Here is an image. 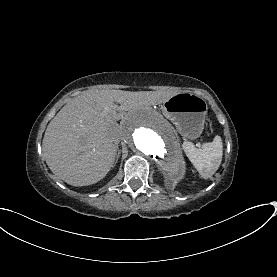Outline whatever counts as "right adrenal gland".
Instances as JSON below:
<instances>
[{
    "instance_id": "obj_1",
    "label": "right adrenal gland",
    "mask_w": 277,
    "mask_h": 277,
    "mask_svg": "<svg viewBox=\"0 0 277 277\" xmlns=\"http://www.w3.org/2000/svg\"><path fill=\"white\" fill-rule=\"evenodd\" d=\"M120 154H121V150L119 149V147L117 146V155H116V160H115V163L113 166H115V164L118 162V159L120 157Z\"/></svg>"
}]
</instances>
